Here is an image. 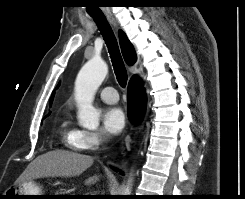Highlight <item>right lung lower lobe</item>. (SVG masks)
<instances>
[{"label": "right lung lower lobe", "instance_id": "right-lung-lower-lobe-1", "mask_svg": "<svg viewBox=\"0 0 245 199\" xmlns=\"http://www.w3.org/2000/svg\"><path fill=\"white\" fill-rule=\"evenodd\" d=\"M127 92L129 118L134 123H138L143 117L146 106V96L141 82L130 81Z\"/></svg>", "mask_w": 245, "mask_h": 199}]
</instances>
